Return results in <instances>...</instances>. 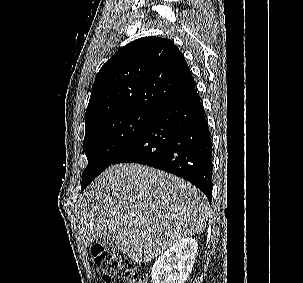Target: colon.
Here are the masks:
<instances>
[{
    "mask_svg": "<svg viewBox=\"0 0 303 283\" xmlns=\"http://www.w3.org/2000/svg\"><path fill=\"white\" fill-rule=\"evenodd\" d=\"M91 255L105 283H149L134 263L114 251L94 245Z\"/></svg>",
    "mask_w": 303,
    "mask_h": 283,
    "instance_id": "5ec220e1",
    "label": "colon"
}]
</instances>
